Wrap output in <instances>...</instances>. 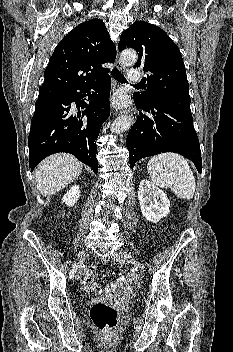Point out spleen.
Instances as JSON below:
<instances>
[{"instance_id":"obj_1","label":"spleen","mask_w":233,"mask_h":352,"mask_svg":"<svg viewBox=\"0 0 233 352\" xmlns=\"http://www.w3.org/2000/svg\"><path fill=\"white\" fill-rule=\"evenodd\" d=\"M150 179L159 187L170 188L177 197L192 199L196 182L187 160L176 153H162L147 164Z\"/></svg>"}]
</instances>
